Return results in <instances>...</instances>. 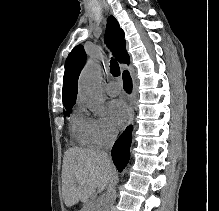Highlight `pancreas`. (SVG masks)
I'll return each instance as SVG.
<instances>
[{
    "instance_id": "pancreas-1",
    "label": "pancreas",
    "mask_w": 219,
    "mask_h": 211,
    "mask_svg": "<svg viewBox=\"0 0 219 211\" xmlns=\"http://www.w3.org/2000/svg\"><path fill=\"white\" fill-rule=\"evenodd\" d=\"M84 204L86 205V211H98L100 205H96V200H85Z\"/></svg>"
}]
</instances>
